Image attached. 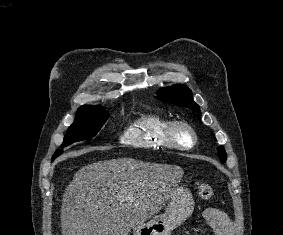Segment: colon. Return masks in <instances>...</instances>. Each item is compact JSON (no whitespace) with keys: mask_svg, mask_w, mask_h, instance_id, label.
<instances>
[{"mask_svg":"<svg viewBox=\"0 0 283 235\" xmlns=\"http://www.w3.org/2000/svg\"><path fill=\"white\" fill-rule=\"evenodd\" d=\"M197 192L198 195L204 200H209L213 196L212 186L203 181L197 183Z\"/></svg>","mask_w":283,"mask_h":235,"instance_id":"obj_1","label":"colon"}]
</instances>
